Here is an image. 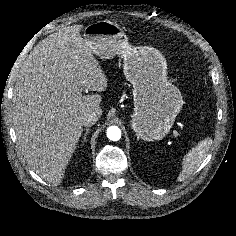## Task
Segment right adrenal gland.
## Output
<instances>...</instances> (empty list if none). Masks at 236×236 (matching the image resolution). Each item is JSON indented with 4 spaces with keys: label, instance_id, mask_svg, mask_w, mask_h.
Instances as JSON below:
<instances>
[{
    "label": "right adrenal gland",
    "instance_id": "1",
    "mask_svg": "<svg viewBox=\"0 0 236 236\" xmlns=\"http://www.w3.org/2000/svg\"><path fill=\"white\" fill-rule=\"evenodd\" d=\"M90 129H86L85 133H84V136H83V141L82 143H84L86 141V138H87V135L89 133Z\"/></svg>",
    "mask_w": 236,
    "mask_h": 236
}]
</instances>
